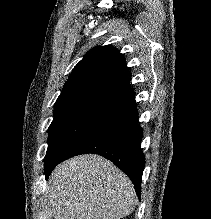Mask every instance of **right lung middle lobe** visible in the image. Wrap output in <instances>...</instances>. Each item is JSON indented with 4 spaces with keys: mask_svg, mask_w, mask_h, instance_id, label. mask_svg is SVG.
I'll use <instances>...</instances> for the list:
<instances>
[{
    "mask_svg": "<svg viewBox=\"0 0 211 219\" xmlns=\"http://www.w3.org/2000/svg\"><path fill=\"white\" fill-rule=\"evenodd\" d=\"M119 107L96 99H77L55 104L54 119L49 127L45 158V175L87 132Z\"/></svg>",
    "mask_w": 211,
    "mask_h": 219,
    "instance_id": "1",
    "label": "right lung middle lobe"
}]
</instances>
